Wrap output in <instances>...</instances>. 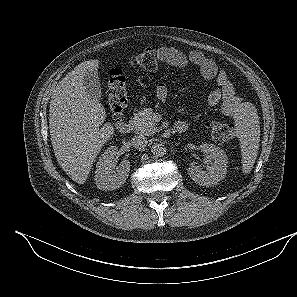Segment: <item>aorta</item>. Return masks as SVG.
Returning <instances> with one entry per match:
<instances>
[{
    "instance_id": "1",
    "label": "aorta",
    "mask_w": 297,
    "mask_h": 297,
    "mask_svg": "<svg viewBox=\"0 0 297 297\" xmlns=\"http://www.w3.org/2000/svg\"><path fill=\"white\" fill-rule=\"evenodd\" d=\"M151 152L156 157H162L166 154V147L163 143H155L151 147Z\"/></svg>"
}]
</instances>
